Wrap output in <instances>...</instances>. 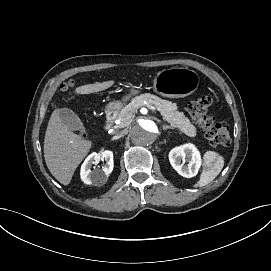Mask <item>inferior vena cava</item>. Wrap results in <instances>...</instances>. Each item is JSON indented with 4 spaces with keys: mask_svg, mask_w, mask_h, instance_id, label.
<instances>
[{
    "mask_svg": "<svg viewBox=\"0 0 271 271\" xmlns=\"http://www.w3.org/2000/svg\"><path fill=\"white\" fill-rule=\"evenodd\" d=\"M122 135H123V132H119V133H118V136H122Z\"/></svg>",
    "mask_w": 271,
    "mask_h": 271,
    "instance_id": "inferior-vena-cava-1",
    "label": "inferior vena cava"
}]
</instances>
